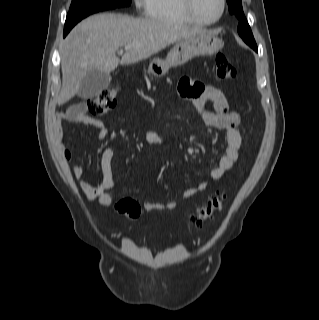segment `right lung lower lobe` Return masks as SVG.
Returning <instances> with one entry per match:
<instances>
[{
  "mask_svg": "<svg viewBox=\"0 0 319 320\" xmlns=\"http://www.w3.org/2000/svg\"><path fill=\"white\" fill-rule=\"evenodd\" d=\"M71 29H72V28H71ZM71 29H65V30H64V33H63V37H65V36L69 33V31H70Z\"/></svg>",
  "mask_w": 319,
  "mask_h": 320,
  "instance_id": "right-lung-lower-lobe-1",
  "label": "right lung lower lobe"
}]
</instances>
